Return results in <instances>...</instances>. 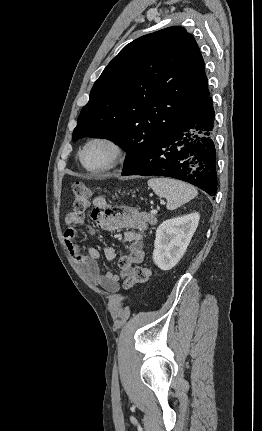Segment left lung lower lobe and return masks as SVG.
<instances>
[{
  "label": "left lung lower lobe",
  "instance_id": "obj_1",
  "mask_svg": "<svg viewBox=\"0 0 262 431\" xmlns=\"http://www.w3.org/2000/svg\"><path fill=\"white\" fill-rule=\"evenodd\" d=\"M214 108L208 98L164 135L123 175L165 176L197 186L213 196L217 191Z\"/></svg>",
  "mask_w": 262,
  "mask_h": 431
}]
</instances>
